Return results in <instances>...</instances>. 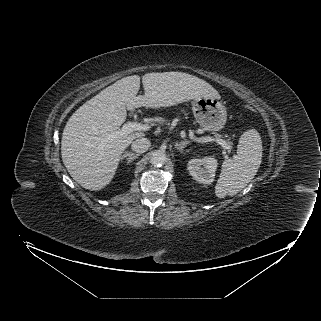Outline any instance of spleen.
Masks as SVG:
<instances>
[{
	"label": "spleen",
	"mask_w": 321,
	"mask_h": 321,
	"mask_svg": "<svg viewBox=\"0 0 321 321\" xmlns=\"http://www.w3.org/2000/svg\"><path fill=\"white\" fill-rule=\"evenodd\" d=\"M262 141L255 129L245 131L238 143L237 155L226 159L215 186L218 198L235 195L254 178L262 161Z\"/></svg>",
	"instance_id": "spleen-1"
}]
</instances>
